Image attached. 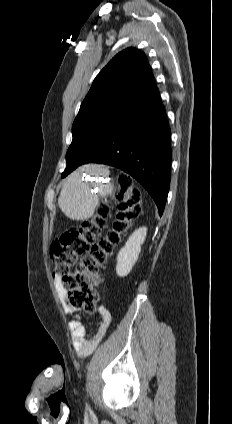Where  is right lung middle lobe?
<instances>
[{
  "instance_id": "obj_1",
  "label": "right lung middle lobe",
  "mask_w": 232,
  "mask_h": 424,
  "mask_svg": "<svg viewBox=\"0 0 232 424\" xmlns=\"http://www.w3.org/2000/svg\"><path fill=\"white\" fill-rule=\"evenodd\" d=\"M131 108V105L113 103L78 113L72 126L73 140L67 151V167L62 178L81 165L112 131L129 120Z\"/></svg>"
}]
</instances>
